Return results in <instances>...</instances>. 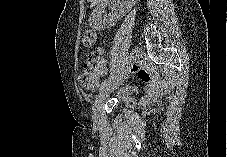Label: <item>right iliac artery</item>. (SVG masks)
Here are the masks:
<instances>
[{
	"mask_svg": "<svg viewBox=\"0 0 227 157\" xmlns=\"http://www.w3.org/2000/svg\"><path fill=\"white\" fill-rule=\"evenodd\" d=\"M129 60H130L129 54L128 53L124 54L123 63H121V65H118V69H115V71H114L116 75L113 73V75L110 78L104 80L101 83L100 90H102L104 87H106L111 82L112 79H114L118 74H120V72H121L120 70H124L126 68V65H128Z\"/></svg>",
	"mask_w": 227,
	"mask_h": 157,
	"instance_id": "right-iliac-artery-1",
	"label": "right iliac artery"
}]
</instances>
